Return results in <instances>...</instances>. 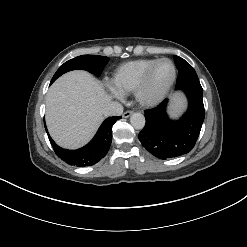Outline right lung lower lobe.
<instances>
[{
    "mask_svg": "<svg viewBox=\"0 0 247 247\" xmlns=\"http://www.w3.org/2000/svg\"><path fill=\"white\" fill-rule=\"evenodd\" d=\"M54 81H51L52 84ZM121 117H109L100 126L95 137L86 146L77 150L59 147L49 136V141L56 155L66 163L78 167L91 166L99 162L108 152L112 142V126ZM45 124V122H44ZM47 131V128L45 126Z\"/></svg>",
    "mask_w": 247,
    "mask_h": 247,
    "instance_id": "right-lung-lower-lobe-1",
    "label": "right lung lower lobe"
}]
</instances>
